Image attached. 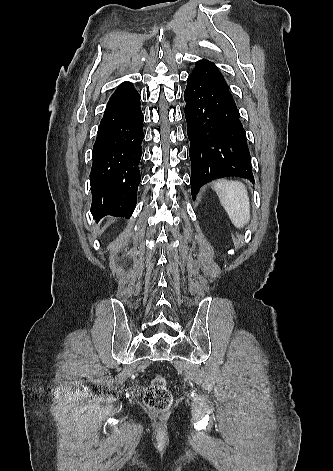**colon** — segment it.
Here are the masks:
<instances>
[{"instance_id":"5ec220e1","label":"colon","mask_w":333,"mask_h":471,"mask_svg":"<svg viewBox=\"0 0 333 471\" xmlns=\"http://www.w3.org/2000/svg\"><path fill=\"white\" fill-rule=\"evenodd\" d=\"M172 401L166 378L163 375L155 376L144 392L146 406L156 412H165L170 408Z\"/></svg>"}]
</instances>
